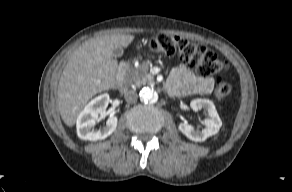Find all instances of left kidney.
Wrapping results in <instances>:
<instances>
[{
	"mask_svg": "<svg viewBox=\"0 0 292 192\" xmlns=\"http://www.w3.org/2000/svg\"><path fill=\"white\" fill-rule=\"evenodd\" d=\"M190 107L194 111L204 109L208 112L210 118L205 119L204 123L206 128L202 131L195 130L194 127L188 123H180L178 128L187 138L195 142H203L208 137L219 132V129L222 126V121L212 101L208 99H194L191 101Z\"/></svg>",
	"mask_w": 292,
	"mask_h": 192,
	"instance_id": "obj_1",
	"label": "left kidney"
}]
</instances>
